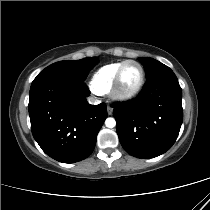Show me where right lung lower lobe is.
<instances>
[{"label":"right lung lower lobe","mask_w":210,"mask_h":210,"mask_svg":"<svg viewBox=\"0 0 210 210\" xmlns=\"http://www.w3.org/2000/svg\"><path fill=\"white\" fill-rule=\"evenodd\" d=\"M84 81L52 76L35 78L29 93L32 134L53 159L74 163L94 150L97 134L107 117L106 105H90Z\"/></svg>","instance_id":"right-lung-lower-lobe-1"}]
</instances>
